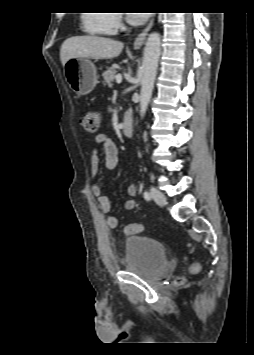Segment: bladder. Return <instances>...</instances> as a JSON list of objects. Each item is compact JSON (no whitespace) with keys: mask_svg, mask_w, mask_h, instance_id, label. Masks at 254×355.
Here are the masks:
<instances>
[{"mask_svg":"<svg viewBox=\"0 0 254 355\" xmlns=\"http://www.w3.org/2000/svg\"><path fill=\"white\" fill-rule=\"evenodd\" d=\"M166 248L159 241L145 236H131L125 241L124 267L143 277L156 279L165 270Z\"/></svg>","mask_w":254,"mask_h":355,"instance_id":"1","label":"bladder"}]
</instances>
